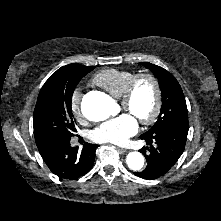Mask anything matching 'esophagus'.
<instances>
[{
    "mask_svg": "<svg viewBox=\"0 0 221 221\" xmlns=\"http://www.w3.org/2000/svg\"><path fill=\"white\" fill-rule=\"evenodd\" d=\"M118 150H119L120 152H122V153L127 152V149H124V148H118Z\"/></svg>",
    "mask_w": 221,
    "mask_h": 221,
    "instance_id": "34e87169",
    "label": "esophagus"
}]
</instances>
